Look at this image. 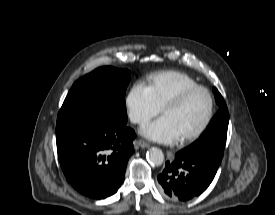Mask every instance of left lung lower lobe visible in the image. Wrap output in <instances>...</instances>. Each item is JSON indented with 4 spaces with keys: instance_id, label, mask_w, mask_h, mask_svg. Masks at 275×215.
<instances>
[{
    "instance_id": "left-lung-lower-lobe-1",
    "label": "left lung lower lobe",
    "mask_w": 275,
    "mask_h": 215,
    "mask_svg": "<svg viewBox=\"0 0 275 215\" xmlns=\"http://www.w3.org/2000/svg\"><path fill=\"white\" fill-rule=\"evenodd\" d=\"M219 165L186 154L183 150L167 161L157 179L167 197L188 201L202 194L215 177Z\"/></svg>"
}]
</instances>
